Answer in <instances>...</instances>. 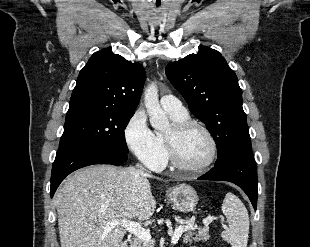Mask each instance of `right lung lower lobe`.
Here are the masks:
<instances>
[{
    "label": "right lung lower lobe",
    "instance_id": "98d812e1",
    "mask_svg": "<svg viewBox=\"0 0 310 247\" xmlns=\"http://www.w3.org/2000/svg\"><path fill=\"white\" fill-rule=\"evenodd\" d=\"M127 160V154L89 145L74 144L58 149L52 166L50 196L53 197L62 180L71 172L93 164L119 166Z\"/></svg>",
    "mask_w": 310,
    "mask_h": 247
}]
</instances>
